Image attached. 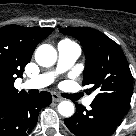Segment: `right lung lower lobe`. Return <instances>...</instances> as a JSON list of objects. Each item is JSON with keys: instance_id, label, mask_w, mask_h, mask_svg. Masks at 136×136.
Listing matches in <instances>:
<instances>
[{"instance_id": "right-lung-lower-lobe-1", "label": "right lung lower lobe", "mask_w": 136, "mask_h": 136, "mask_svg": "<svg viewBox=\"0 0 136 136\" xmlns=\"http://www.w3.org/2000/svg\"><path fill=\"white\" fill-rule=\"evenodd\" d=\"M52 102L51 94L27 93L0 105V136H27L37 122L39 110Z\"/></svg>"}]
</instances>
